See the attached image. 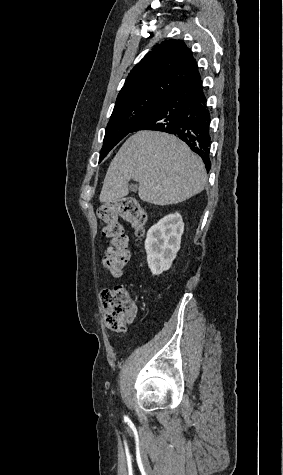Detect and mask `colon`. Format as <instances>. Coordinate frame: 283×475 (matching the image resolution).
I'll use <instances>...</instances> for the list:
<instances>
[{"mask_svg": "<svg viewBox=\"0 0 283 475\" xmlns=\"http://www.w3.org/2000/svg\"><path fill=\"white\" fill-rule=\"evenodd\" d=\"M104 223L103 233L109 240L103 255V261L114 277L122 276L129 262L126 234L121 219L128 221L134 231L143 235L147 227V213L137 199L129 197L124 200L106 203L98 212ZM104 307L105 324L114 332H125L133 320L136 306L127 285L119 284L99 293Z\"/></svg>", "mask_w": 283, "mask_h": 475, "instance_id": "5ec220e1", "label": "colon"}]
</instances>
